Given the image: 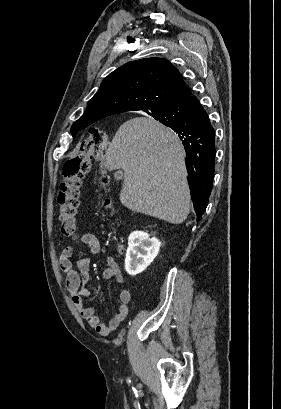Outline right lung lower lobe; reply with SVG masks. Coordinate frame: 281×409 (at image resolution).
I'll list each match as a JSON object with an SVG mask.
<instances>
[{"label": "right lung lower lobe", "instance_id": "1", "mask_svg": "<svg viewBox=\"0 0 281 409\" xmlns=\"http://www.w3.org/2000/svg\"><path fill=\"white\" fill-rule=\"evenodd\" d=\"M147 113L175 118L168 127L178 134L186 151L190 193L199 221L208 205L215 169V134L208 114L195 96Z\"/></svg>", "mask_w": 281, "mask_h": 409}]
</instances>
